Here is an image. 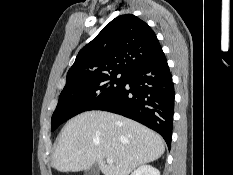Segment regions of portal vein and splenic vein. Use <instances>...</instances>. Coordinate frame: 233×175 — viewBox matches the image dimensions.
Listing matches in <instances>:
<instances>
[{
	"mask_svg": "<svg viewBox=\"0 0 233 175\" xmlns=\"http://www.w3.org/2000/svg\"><path fill=\"white\" fill-rule=\"evenodd\" d=\"M114 162L113 158H107V163L112 164Z\"/></svg>",
	"mask_w": 233,
	"mask_h": 175,
	"instance_id": "portal-vein-and-splenic-vein-1",
	"label": "portal vein and splenic vein"
}]
</instances>
